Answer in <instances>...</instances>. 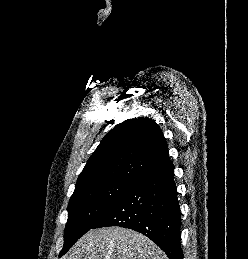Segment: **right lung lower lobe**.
<instances>
[{
  "mask_svg": "<svg viewBox=\"0 0 248 259\" xmlns=\"http://www.w3.org/2000/svg\"><path fill=\"white\" fill-rule=\"evenodd\" d=\"M177 194L171 164L132 183L92 229L129 228L150 238L170 259H183Z\"/></svg>",
  "mask_w": 248,
  "mask_h": 259,
  "instance_id": "obj_1",
  "label": "right lung lower lobe"
}]
</instances>
